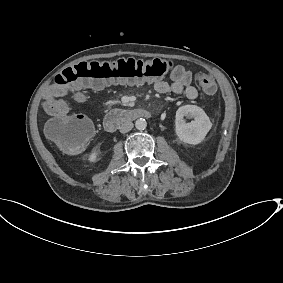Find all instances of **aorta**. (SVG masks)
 <instances>
[{"instance_id":"1","label":"aorta","mask_w":283,"mask_h":283,"mask_svg":"<svg viewBox=\"0 0 283 283\" xmlns=\"http://www.w3.org/2000/svg\"><path fill=\"white\" fill-rule=\"evenodd\" d=\"M146 126H147V122L143 118H139L135 122V127L138 130H144L146 128Z\"/></svg>"}]
</instances>
